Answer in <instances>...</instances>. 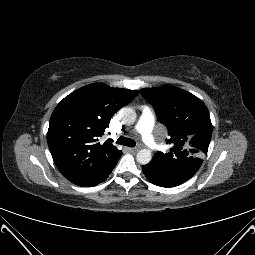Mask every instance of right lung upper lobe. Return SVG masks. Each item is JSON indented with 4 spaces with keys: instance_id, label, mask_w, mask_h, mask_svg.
<instances>
[{
    "instance_id": "cb5924a9",
    "label": "right lung upper lobe",
    "mask_w": 255,
    "mask_h": 255,
    "mask_svg": "<svg viewBox=\"0 0 255 255\" xmlns=\"http://www.w3.org/2000/svg\"><path fill=\"white\" fill-rule=\"evenodd\" d=\"M137 94L93 83L59 102L51 115L47 141L57 168L69 181L88 186L117 164L122 151L110 139L100 144L98 137L109 127L112 115Z\"/></svg>"
}]
</instances>
